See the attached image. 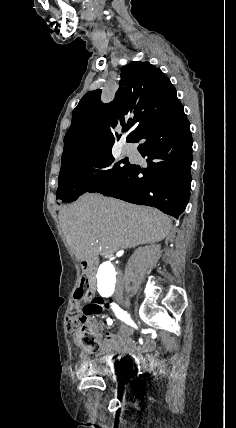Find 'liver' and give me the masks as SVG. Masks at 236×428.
I'll list each match as a JSON object with an SVG mask.
<instances>
[{
  "label": "liver",
  "mask_w": 236,
  "mask_h": 428,
  "mask_svg": "<svg viewBox=\"0 0 236 428\" xmlns=\"http://www.w3.org/2000/svg\"><path fill=\"white\" fill-rule=\"evenodd\" d=\"M64 238L77 260L112 256L121 248L155 244L166 238L171 222L156 208L133 206L100 194H84L59 212Z\"/></svg>",
  "instance_id": "1"
}]
</instances>
